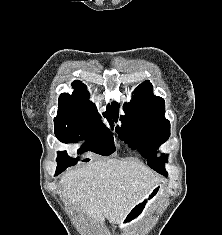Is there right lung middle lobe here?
I'll return each instance as SVG.
<instances>
[{"instance_id":"obj_1","label":"right lung middle lobe","mask_w":222,"mask_h":235,"mask_svg":"<svg viewBox=\"0 0 222 235\" xmlns=\"http://www.w3.org/2000/svg\"><path fill=\"white\" fill-rule=\"evenodd\" d=\"M113 129V121L109 119ZM116 122V121H115ZM55 135L63 143H73L87 140L77 153L91 151L99 155L108 156L115 151L111 131L102 124L96 116H57L54 119ZM90 159H85L88 162ZM78 158L73 159L65 151L58 152L56 175L66 168L75 165Z\"/></svg>"}]
</instances>
